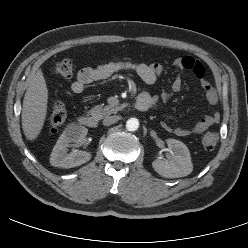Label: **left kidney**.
<instances>
[{"label": "left kidney", "instance_id": "left-kidney-1", "mask_svg": "<svg viewBox=\"0 0 248 248\" xmlns=\"http://www.w3.org/2000/svg\"><path fill=\"white\" fill-rule=\"evenodd\" d=\"M167 145L172 152V159H157L153 161L152 166L154 170L166 178H179L191 174L193 165L187 146L175 139H168Z\"/></svg>", "mask_w": 248, "mask_h": 248}]
</instances>
